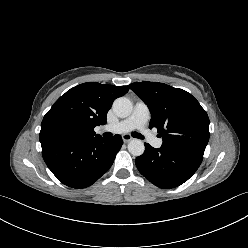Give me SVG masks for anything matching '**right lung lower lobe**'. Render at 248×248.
<instances>
[{
  "label": "right lung lower lobe",
  "instance_id": "obj_1",
  "mask_svg": "<svg viewBox=\"0 0 248 248\" xmlns=\"http://www.w3.org/2000/svg\"><path fill=\"white\" fill-rule=\"evenodd\" d=\"M122 144L121 136L115 135L49 141L41 146L43 159L57 179L72 188H85L111 167Z\"/></svg>",
  "mask_w": 248,
  "mask_h": 248
}]
</instances>
